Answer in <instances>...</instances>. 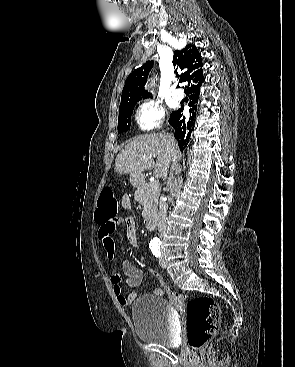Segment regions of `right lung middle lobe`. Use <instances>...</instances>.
I'll return each instance as SVG.
<instances>
[{
  "label": "right lung middle lobe",
  "mask_w": 295,
  "mask_h": 367,
  "mask_svg": "<svg viewBox=\"0 0 295 367\" xmlns=\"http://www.w3.org/2000/svg\"><path fill=\"white\" fill-rule=\"evenodd\" d=\"M137 102H128L119 107L118 134L130 129L131 115Z\"/></svg>",
  "instance_id": "right-lung-middle-lobe-1"
}]
</instances>
